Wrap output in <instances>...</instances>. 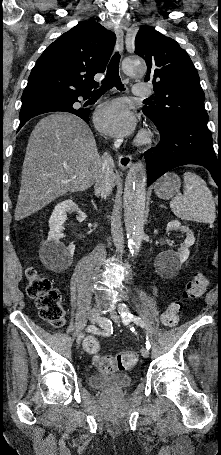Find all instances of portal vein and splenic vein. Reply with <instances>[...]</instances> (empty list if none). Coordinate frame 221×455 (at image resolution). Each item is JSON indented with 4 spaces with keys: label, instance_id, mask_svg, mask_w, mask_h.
<instances>
[{
    "label": "portal vein and splenic vein",
    "instance_id": "18ae733b",
    "mask_svg": "<svg viewBox=\"0 0 221 455\" xmlns=\"http://www.w3.org/2000/svg\"><path fill=\"white\" fill-rule=\"evenodd\" d=\"M72 179H76V176H72Z\"/></svg>",
    "mask_w": 221,
    "mask_h": 455
}]
</instances>
